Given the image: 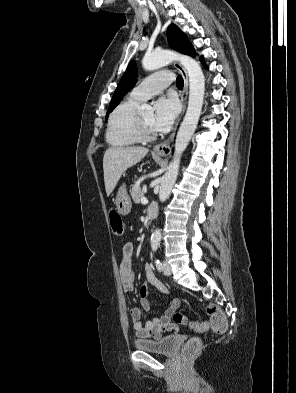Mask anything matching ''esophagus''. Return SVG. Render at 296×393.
Listing matches in <instances>:
<instances>
[{"mask_svg": "<svg viewBox=\"0 0 296 393\" xmlns=\"http://www.w3.org/2000/svg\"><path fill=\"white\" fill-rule=\"evenodd\" d=\"M174 65L179 70V72L181 73V75L183 77V81H184V87H183V90H182V93H181V101H182L181 117H182V115L184 114L185 109H186L185 94H186L187 89H188V74H187L186 70L184 69V67L180 63L175 62ZM181 117L178 119V121H177V123L175 125V128H174V131L172 132L170 137L167 140L157 144L154 147L153 150H154L155 153H157L159 155H163V156H166V155L170 154V152H171V143H172V141L174 139L175 132H176V129H177V126H178V124L180 122Z\"/></svg>", "mask_w": 296, "mask_h": 393, "instance_id": "1", "label": "esophagus"}]
</instances>
